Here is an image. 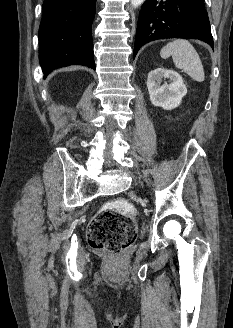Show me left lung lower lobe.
Here are the masks:
<instances>
[{
    "instance_id": "0a47b994",
    "label": "left lung lower lobe",
    "mask_w": 233,
    "mask_h": 328,
    "mask_svg": "<svg viewBox=\"0 0 233 328\" xmlns=\"http://www.w3.org/2000/svg\"><path fill=\"white\" fill-rule=\"evenodd\" d=\"M164 38H193L213 48L203 0H146L141 8L133 58L142 45Z\"/></svg>"
}]
</instances>
